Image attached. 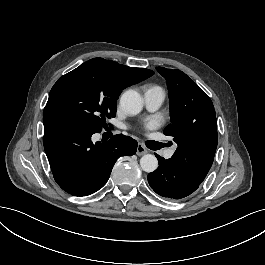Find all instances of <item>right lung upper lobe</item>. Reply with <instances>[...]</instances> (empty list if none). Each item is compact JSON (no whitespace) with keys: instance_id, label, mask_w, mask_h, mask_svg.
I'll use <instances>...</instances> for the list:
<instances>
[{"instance_id":"obj_1","label":"right lung upper lobe","mask_w":265,"mask_h":265,"mask_svg":"<svg viewBox=\"0 0 265 265\" xmlns=\"http://www.w3.org/2000/svg\"><path fill=\"white\" fill-rule=\"evenodd\" d=\"M102 60L106 64L110 74L117 78L125 88L141 82L154 74L149 69L130 68L111 60Z\"/></svg>"}]
</instances>
